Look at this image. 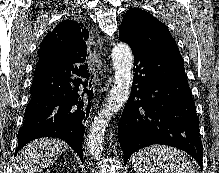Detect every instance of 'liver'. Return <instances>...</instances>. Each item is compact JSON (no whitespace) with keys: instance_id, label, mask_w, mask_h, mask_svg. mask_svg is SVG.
<instances>
[{"instance_id":"liver-1","label":"liver","mask_w":219,"mask_h":173,"mask_svg":"<svg viewBox=\"0 0 219 173\" xmlns=\"http://www.w3.org/2000/svg\"><path fill=\"white\" fill-rule=\"evenodd\" d=\"M68 149L61 140L41 138L27 144L17 155L14 173H37L51 165Z\"/></svg>"}]
</instances>
